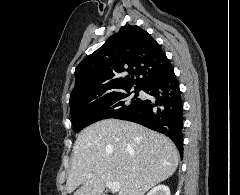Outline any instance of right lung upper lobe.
Returning <instances> with one entry per match:
<instances>
[{
	"mask_svg": "<svg viewBox=\"0 0 240 195\" xmlns=\"http://www.w3.org/2000/svg\"><path fill=\"white\" fill-rule=\"evenodd\" d=\"M173 70L161 46L138 26H124L75 69L69 104L125 89L144 90Z\"/></svg>",
	"mask_w": 240,
	"mask_h": 195,
	"instance_id": "obj_1",
	"label": "right lung upper lobe"
}]
</instances>
